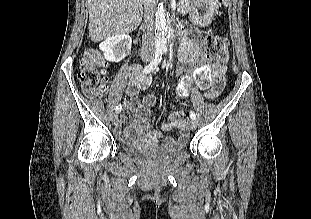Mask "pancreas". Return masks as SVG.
Masks as SVG:
<instances>
[{"label":"pancreas","instance_id":"1","mask_svg":"<svg viewBox=\"0 0 311 219\" xmlns=\"http://www.w3.org/2000/svg\"><path fill=\"white\" fill-rule=\"evenodd\" d=\"M190 10V0H179L178 11L181 13H187Z\"/></svg>","mask_w":311,"mask_h":219}]
</instances>
